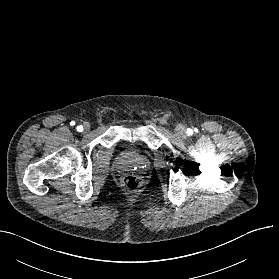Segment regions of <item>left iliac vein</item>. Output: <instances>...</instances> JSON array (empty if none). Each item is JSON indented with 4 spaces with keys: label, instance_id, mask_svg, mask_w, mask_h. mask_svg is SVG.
<instances>
[{
    "label": "left iliac vein",
    "instance_id": "left-iliac-vein-1",
    "mask_svg": "<svg viewBox=\"0 0 279 279\" xmlns=\"http://www.w3.org/2000/svg\"><path fill=\"white\" fill-rule=\"evenodd\" d=\"M176 135L180 138H185L186 137V130L185 127L182 125H178L175 129Z\"/></svg>",
    "mask_w": 279,
    "mask_h": 279
}]
</instances>
